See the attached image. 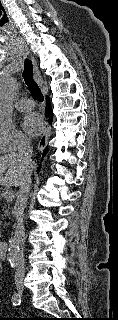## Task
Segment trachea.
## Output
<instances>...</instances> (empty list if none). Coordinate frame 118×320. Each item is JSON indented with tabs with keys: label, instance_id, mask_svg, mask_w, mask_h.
Returning <instances> with one entry per match:
<instances>
[{
	"label": "trachea",
	"instance_id": "obj_1",
	"mask_svg": "<svg viewBox=\"0 0 118 320\" xmlns=\"http://www.w3.org/2000/svg\"><path fill=\"white\" fill-rule=\"evenodd\" d=\"M23 78H24L26 85L28 86V89H29L32 97L35 98L37 101L42 102L44 100V96H43L38 84L35 82V80L33 78V65L29 59L25 60Z\"/></svg>",
	"mask_w": 118,
	"mask_h": 320
}]
</instances>
